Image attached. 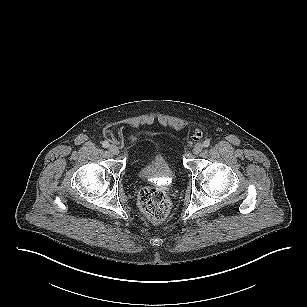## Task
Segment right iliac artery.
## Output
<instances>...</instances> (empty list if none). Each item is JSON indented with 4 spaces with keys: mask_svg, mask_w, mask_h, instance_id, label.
Listing matches in <instances>:
<instances>
[{
    "mask_svg": "<svg viewBox=\"0 0 307 307\" xmlns=\"http://www.w3.org/2000/svg\"><path fill=\"white\" fill-rule=\"evenodd\" d=\"M102 146H103L104 148H108V147H109V142H108V141H103V142H102Z\"/></svg>",
    "mask_w": 307,
    "mask_h": 307,
    "instance_id": "obj_1",
    "label": "right iliac artery"
}]
</instances>
